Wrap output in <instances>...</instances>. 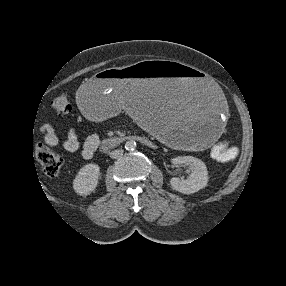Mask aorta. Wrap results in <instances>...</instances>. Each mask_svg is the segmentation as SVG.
I'll return each instance as SVG.
<instances>
[{"label":"aorta","instance_id":"obj_1","mask_svg":"<svg viewBox=\"0 0 286 286\" xmlns=\"http://www.w3.org/2000/svg\"><path fill=\"white\" fill-rule=\"evenodd\" d=\"M136 148V142L133 140H129L125 143L126 150H134Z\"/></svg>","mask_w":286,"mask_h":286}]
</instances>
